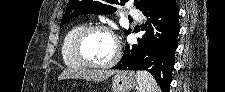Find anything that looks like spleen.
I'll return each instance as SVG.
<instances>
[{"instance_id": "spleen-1", "label": "spleen", "mask_w": 225, "mask_h": 92, "mask_svg": "<svg viewBox=\"0 0 225 92\" xmlns=\"http://www.w3.org/2000/svg\"><path fill=\"white\" fill-rule=\"evenodd\" d=\"M137 91L136 92H161L159 85L153 76L147 71H137Z\"/></svg>"}]
</instances>
